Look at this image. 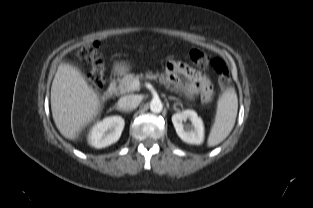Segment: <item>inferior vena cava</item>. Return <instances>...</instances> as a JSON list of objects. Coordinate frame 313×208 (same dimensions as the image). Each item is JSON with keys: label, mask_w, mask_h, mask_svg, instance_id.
I'll use <instances>...</instances> for the list:
<instances>
[{"label": "inferior vena cava", "mask_w": 313, "mask_h": 208, "mask_svg": "<svg viewBox=\"0 0 313 208\" xmlns=\"http://www.w3.org/2000/svg\"><path fill=\"white\" fill-rule=\"evenodd\" d=\"M140 104V98L137 95H126L119 99L118 107L130 111L135 109Z\"/></svg>", "instance_id": "inferior-vena-cava-1"}]
</instances>
